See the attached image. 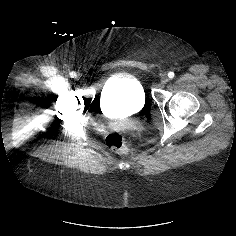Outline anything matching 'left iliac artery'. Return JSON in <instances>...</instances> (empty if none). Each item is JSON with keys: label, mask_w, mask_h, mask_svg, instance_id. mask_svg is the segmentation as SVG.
<instances>
[{"label": "left iliac artery", "mask_w": 236, "mask_h": 236, "mask_svg": "<svg viewBox=\"0 0 236 236\" xmlns=\"http://www.w3.org/2000/svg\"><path fill=\"white\" fill-rule=\"evenodd\" d=\"M174 75H175L174 72H169L168 73V77L171 78V79L174 77Z\"/></svg>", "instance_id": "obj_1"}]
</instances>
